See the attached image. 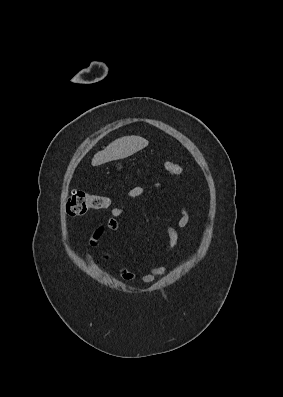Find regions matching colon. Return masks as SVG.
I'll return each mask as SVG.
<instances>
[{"label": "colon", "instance_id": "1", "mask_svg": "<svg viewBox=\"0 0 283 397\" xmlns=\"http://www.w3.org/2000/svg\"><path fill=\"white\" fill-rule=\"evenodd\" d=\"M164 168L170 176L180 175L182 167L174 162H165ZM110 201L103 195L91 194L85 190H76L72 192L66 203V212L69 215H84L90 210L105 209L109 206Z\"/></svg>", "mask_w": 283, "mask_h": 397}]
</instances>
